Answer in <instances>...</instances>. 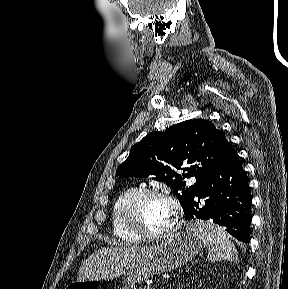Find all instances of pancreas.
<instances>
[{
    "instance_id": "pancreas-1",
    "label": "pancreas",
    "mask_w": 288,
    "mask_h": 289,
    "mask_svg": "<svg viewBox=\"0 0 288 289\" xmlns=\"http://www.w3.org/2000/svg\"><path fill=\"white\" fill-rule=\"evenodd\" d=\"M139 289H152L151 286L140 287Z\"/></svg>"
}]
</instances>
